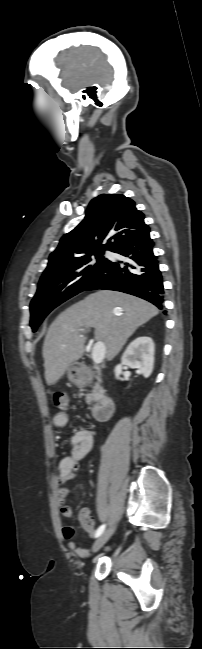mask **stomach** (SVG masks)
<instances>
[{
    "mask_svg": "<svg viewBox=\"0 0 202 649\" xmlns=\"http://www.w3.org/2000/svg\"><path fill=\"white\" fill-rule=\"evenodd\" d=\"M67 376L70 382L78 384L81 382L83 375L79 368L76 366H70L67 370Z\"/></svg>",
    "mask_w": 202,
    "mask_h": 649,
    "instance_id": "obj_1",
    "label": "stomach"
}]
</instances>
